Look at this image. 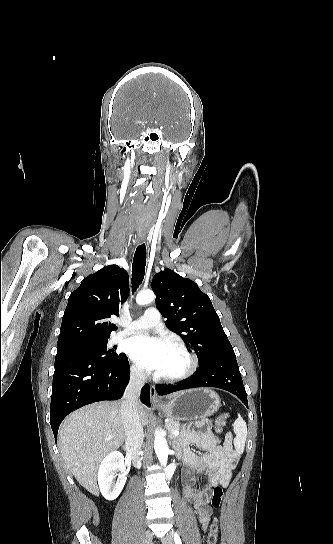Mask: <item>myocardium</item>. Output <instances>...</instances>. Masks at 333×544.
I'll use <instances>...</instances> for the list:
<instances>
[{"label":"myocardium","instance_id":"1","mask_svg":"<svg viewBox=\"0 0 333 544\" xmlns=\"http://www.w3.org/2000/svg\"><path fill=\"white\" fill-rule=\"evenodd\" d=\"M170 346L176 348L177 350H179L186 356L188 360V365L182 372L178 374H174V375L158 374L157 378L163 382H168V383L181 382L190 378L198 369V366H199L198 357L182 341L173 340L170 342Z\"/></svg>","mask_w":333,"mask_h":544}]
</instances>
